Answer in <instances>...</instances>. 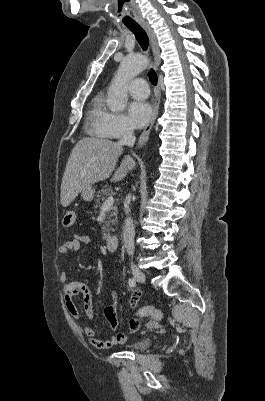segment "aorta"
<instances>
[{
    "label": "aorta",
    "mask_w": 265,
    "mask_h": 401,
    "mask_svg": "<svg viewBox=\"0 0 265 401\" xmlns=\"http://www.w3.org/2000/svg\"><path fill=\"white\" fill-rule=\"evenodd\" d=\"M146 66V62H142V56L139 60L135 58H125L119 64V68L108 88L107 104L110 110H123L127 100V82L137 76Z\"/></svg>",
    "instance_id": "762f6f07"
}]
</instances>
